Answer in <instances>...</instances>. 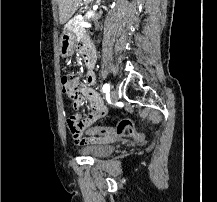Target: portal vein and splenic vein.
<instances>
[{
    "label": "portal vein and splenic vein",
    "mask_w": 217,
    "mask_h": 202,
    "mask_svg": "<svg viewBox=\"0 0 217 202\" xmlns=\"http://www.w3.org/2000/svg\"><path fill=\"white\" fill-rule=\"evenodd\" d=\"M76 24H79V26H83V28H89V26H86V22H76Z\"/></svg>",
    "instance_id": "obj_1"
}]
</instances>
